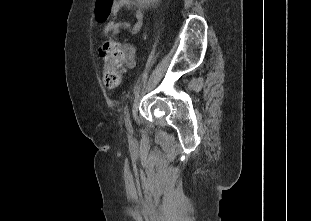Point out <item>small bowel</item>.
Returning a JSON list of instances; mask_svg holds the SVG:
<instances>
[{
  "label": "small bowel",
  "mask_w": 311,
  "mask_h": 221,
  "mask_svg": "<svg viewBox=\"0 0 311 221\" xmlns=\"http://www.w3.org/2000/svg\"><path fill=\"white\" fill-rule=\"evenodd\" d=\"M126 8L131 10L136 18V23L131 25L128 22L118 21L116 19L117 13ZM113 19L108 24L107 32L114 35H119L123 30H128L132 33H137L141 30L143 25V12L140 8V0H114L113 5ZM124 54V61L128 68H132L135 65V48L132 44H125L122 47Z\"/></svg>",
  "instance_id": "1"
}]
</instances>
